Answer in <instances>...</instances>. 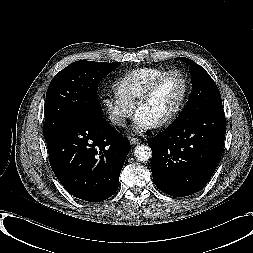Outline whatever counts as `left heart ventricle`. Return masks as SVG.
<instances>
[{
  "instance_id": "obj_1",
  "label": "left heart ventricle",
  "mask_w": 253,
  "mask_h": 253,
  "mask_svg": "<svg viewBox=\"0 0 253 253\" xmlns=\"http://www.w3.org/2000/svg\"><path fill=\"white\" fill-rule=\"evenodd\" d=\"M183 95V82L177 75L166 77L158 86L151 99L138 113L143 114L155 124L169 116L178 106Z\"/></svg>"
}]
</instances>
